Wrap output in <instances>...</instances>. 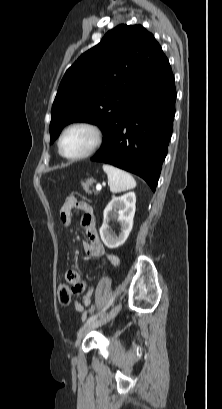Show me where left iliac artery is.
Instances as JSON below:
<instances>
[{"mask_svg": "<svg viewBox=\"0 0 222 409\" xmlns=\"http://www.w3.org/2000/svg\"><path fill=\"white\" fill-rule=\"evenodd\" d=\"M113 301H114V297L109 300V302L106 304V306L100 312H98L97 314H94L91 317H89L86 323H91V322L95 321L98 317L103 315V313L112 305Z\"/></svg>", "mask_w": 222, "mask_h": 409, "instance_id": "obj_1", "label": "left iliac artery"}]
</instances>
